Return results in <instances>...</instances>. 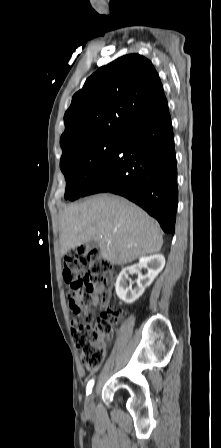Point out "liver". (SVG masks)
Here are the masks:
<instances>
[{"mask_svg": "<svg viewBox=\"0 0 221 448\" xmlns=\"http://www.w3.org/2000/svg\"><path fill=\"white\" fill-rule=\"evenodd\" d=\"M59 239L61 255L94 241L101 256L112 265L158 253L163 245L154 219L130 201L108 194L65 208L60 216Z\"/></svg>", "mask_w": 221, "mask_h": 448, "instance_id": "liver-1", "label": "liver"}]
</instances>
